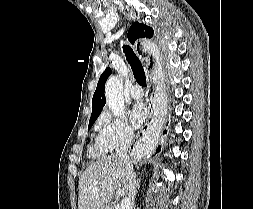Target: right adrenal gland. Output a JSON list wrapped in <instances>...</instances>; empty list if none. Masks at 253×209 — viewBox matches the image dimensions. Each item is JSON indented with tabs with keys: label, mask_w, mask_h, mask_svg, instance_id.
Here are the masks:
<instances>
[{
	"label": "right adrenal gland",
	"mask_w": 253,
	"mask_h": 209,
	"mask_svg": "<svg viewBox=\"0 0 253 209\" xmlns=\"http://www.w3.org/2000/svg\"><path fill=\"white\" fill-rule=\"evenodd\" d=\"M140 181H141V179H140V178H139V179H137V180L135 181L136 194H137L138 189H139V187H140Z\"/></svg>",
	"instance_id": "obj_1"
}]
</instances>
